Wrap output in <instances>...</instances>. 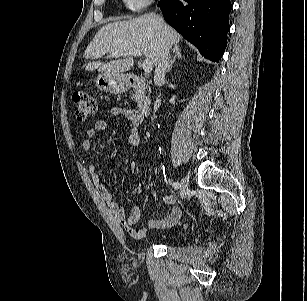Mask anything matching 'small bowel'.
I'll use <instances>...</instances> for the list:
<instances>
[{"label": "small bowel", "instance_id": "obj_1", "mask_svg": "<svg viewBox=\"0 0 307 301\" xmlns=\"http://www.w3.org/2000/svg\"><path fill=\"white\" fill-rule=\"evenodd\" d=\"M111 114L115 117L123 118L131 122L132 127L129 136V143L132 146L137 145L139 142L138 128L143 120L141 114L137 110L127 109L120 106L112 107ZM107 129V121L102 119L97 120L94 123V126L87 130V137L82 141L83 150L91 152L93 150V140L99 133L105 132ZM139 155L142 159H145V156L142 153H139ZM119 164V161H111L108 163L111 167H117ZM87 171L93 184L103 200L107 203L114 217L132 238L142 239L145 237L148 229L166 228L174 225L179 220L181 211L174 205L176 202V196L173 194H167L161 197V203L172 207L170 213L164 218L149 220L146 227H136V223L140 219V209L133 206L130 208L128 213H126L124 208L114 199L113 194L97 172L95 165L92 163L88 164Z\"/></svg>", "mask_w": 307, "mask_h": 301}]
</instances>
